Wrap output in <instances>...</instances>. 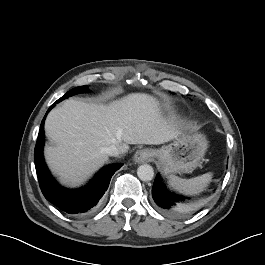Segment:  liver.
Returning a JSON list of instances; mask_svg holds the SVG:
<instances>
[{
	"label": "liver",
	"instance_id": "liver-1",
	"mask_svg": "<svg viewBox=\"0 0 265 265\" xmlns=\"http://www.w3.org/2000/svg\"><path fill=\"white\" fill-rule=\"evenodd\" d=\"M45 133L55 144L45 147L52 172L69 186L86 180L108 160L104 149L129 144L159 145L175 139L177 128L162 116L159 101L133 93L109 105L66 100L45 121Z\"/></svg>",
	"mask_w": 265,
	"mask_h": 265
}]
</instances>
